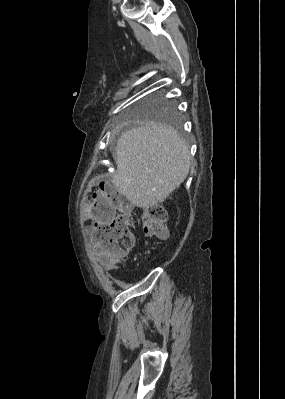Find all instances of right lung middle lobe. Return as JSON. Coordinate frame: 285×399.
I'll return each instance as SVG.
<instances>
[{"mask_svg":"<svg viewBox=\"0 0 285 399\" xmlns=\"http://www.w3.org/2000/svg\"><path fill=\"white\" fill-rule=\"evenodd\" d=\"M173 108L163 102H150L142 109V116L154 118L164 123H172Z\"/></svg>","mask_w":285,"mask_h":399,"instance_id":"1","label":"right lung middle lobe"}]
</instances>
